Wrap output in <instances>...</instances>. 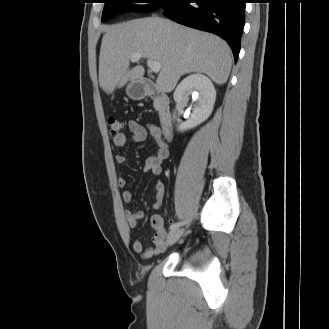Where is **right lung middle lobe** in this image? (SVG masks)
<instances>
[{"label":"right lung middle lobe","instance_id":"1","mask_svg":"<svg viewBox=\"0 0 329 329\" xmlns=\"http://www.w3.org/2000/svg\"><path fill=\"white\" fill-rule=\"evenodd\" d=\"M170 0H147L151 3L145 6L132 5L127 3H137L136 0H104L105 3L102 21H107L114 15L124 12H151L165 6Z\"/></svg>","mask_w":329,"mask_h":329}]
</instances>
